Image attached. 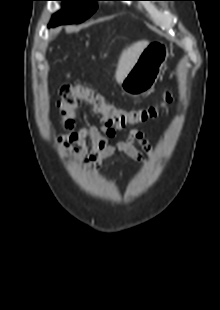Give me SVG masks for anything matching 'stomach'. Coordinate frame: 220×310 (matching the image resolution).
<instances>
[{"label": "stomach", "mask_w": 220, "mask_h": 310, "mask_svg": "<svg viewBox=\"0 0 220 310\" xmlns=\"http://www.w3.org/2000/svg\"><path fill=\"white\" fill-rule=\"evenodd\" d=\"M168 58L167 45L159 40L153 41L140 54L137 62L120 86L131 96L145 95L156 84Z\"/></svg>", "instance_id": "stomach-1"}]
</instances>
